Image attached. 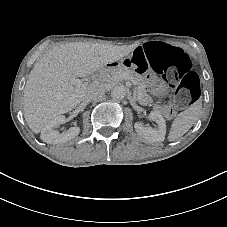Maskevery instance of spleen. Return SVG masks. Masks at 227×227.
<instances>
[{"label":"spleen","instance_id":"1","mask_svg":"<svg viewBox=\"0 0 227 227\" xmlns=\"http://www.w3.org/2000/svg\"><path fill=\"white\" fill-rule=\"evenodd\" d=\"M201 103L190 106L185 111L179 113L174 119L168 135V140L173 142L182 137L192 127L198 119L201 110Z\"/></svg>","mask_w":227,"mask_h":227}]
</instances>
